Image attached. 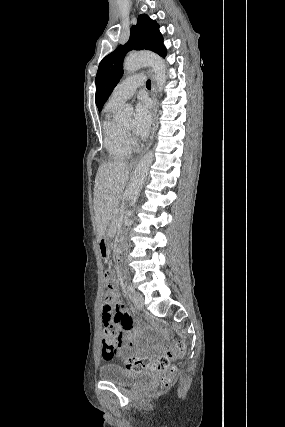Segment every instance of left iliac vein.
<instances>
[{
	"label": "left iliac vein",
	"instance_id": "obj_1",
	"mask_svg": "<svg viewBox=\"0 0 285 427\" xmlns=\"http://www.w3.org/2000/svg\"><path fill=\"white\" fill-rule=\"evenodd\" d=\"M133 303L138 310L142 309L144 305V298L142 294L135 292L133 294Z\"/></svg>",
	"mask_w": 285,
	"mask_h": 427
}]
</instances>
